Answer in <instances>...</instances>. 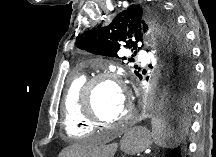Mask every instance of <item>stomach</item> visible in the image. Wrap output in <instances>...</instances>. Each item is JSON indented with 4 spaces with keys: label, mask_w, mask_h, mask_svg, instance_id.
Listing matches in <instances>:
<instances>
[{
    "label": "stomach",
    "mask_w": 216,
    "mask_h": 157,
    "mask_svg": "<svg viewBox=\"0 0 216 157\" xmlns=\"http://www.w3.org/2000/svg\"><path fill=\"white\" fill-rule=\"evenodd\" d=\"M151 137L146 128L133 127L125 132L121 146L127 153L135 155L150 147Z\"/></svg>",
    "instance_id": "obj_1"
}]
</instances>
